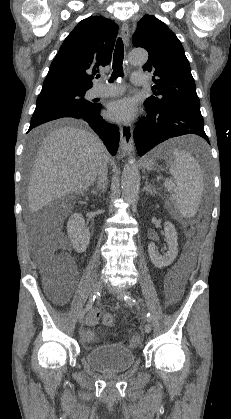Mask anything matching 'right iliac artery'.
<instances>
[{
	"label": "right iliac artery",
	"mask_w": 231,
	"mask_h": 419,
	"mask_svg": "<svg viewBox=\"0 0 231 419\" xmlns=\"http://www.w3.org/2000/svg\"><path fill=\"white\" fill-rule=\"evenodd\" d=\"M96 295H97V294H93V295H91V296H90V298H89V300H88V302H87V304H86V306H85V310H86V311H88L89 309H91V307H92V305H93V302H94V300H95V298H96Z\"/></svg>",
	"instance_id": "1"
}]
</instances>
